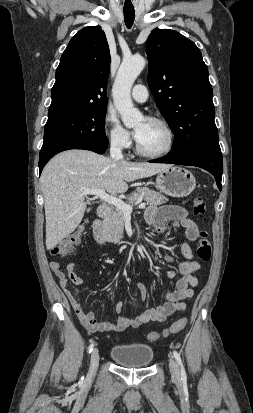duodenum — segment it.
<instances>
[{"mask_svg":"<svg viewBox=\"0 0 253 413\" xmlns=\"http://www.w3.org/2000/svg\"><path fill=\"white\" fill-rule=\"evenodd\" d=\"M112 214V209L108 205H101L98 208L99 218L93 223V236L97 243L104 244L106 237L103 230V222L108 219Z\"/></svg>","mask_w":253,"mask_h":413,"instance_id":"obj_1","label":"duodenum"}]
</instances>
